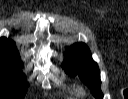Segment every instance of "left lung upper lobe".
Returning a JSON list of instances; mask_svg holds the SVG:
<instances>
[{"label": "left lung upper lobe", "mask_w": 128, "mask_h": 99, "mask_svg": "<svg viewBox=\"0 0 128 99\" xmlns=\"http://www.w3.org/2000/svg\"><path fill=\"white\" fill-rule=\"evenodd\" d=\"M67 60L62 63L69 75H78L90 88L95 99H103L100 89V71L93 61L89 48L84 43H76L67 49Z\"/></svg>", "instance_id": "obj_1"}]
</instances>
